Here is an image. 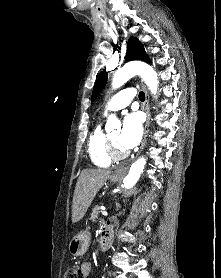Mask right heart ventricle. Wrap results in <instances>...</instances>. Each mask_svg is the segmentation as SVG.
I'll use <instances>...</instances> for the list:
<instances>
[{"mask_svg":"<svg viewBox=\"0 0 221 278\" xmlns=\"http://www.w3.org/2000/svg\"><path fill=\"white\" fill-rule=\"evenodd\" d=\"M106 135L102 124L99 122L95 125L88 138L90 159L97 167H108L111 164V159L105 149Z\"/></svg>","mask_w":221,"mask_h":278,"instance_id":"obj_1","label":"right heart ventricle"}]
</instances>
